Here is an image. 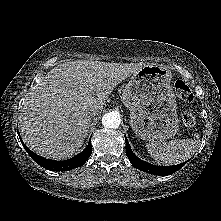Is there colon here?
I'll use <instances>...</instances> for the list:
<instances>
[{
    "label": "colon",
    "instance_id": "obj_1",
    "mask_svg": "<svg viewBox=\"0 0 221 221\" xmlns=\"http://www.w3.org/2000/svg\"><path fill=\"white\" fill-rule=\"evenodd\" d=\"M174 92L178 99L183 102H191L194 98L191 88L186 82L182 80H178L175 82ZM181 119L183 124L187 127L194 126L196 122L194 115L189 110L183 111Z\"/></svg>",
    "mask_w": 221,
    "mask_h": 221
}]
</instances>
